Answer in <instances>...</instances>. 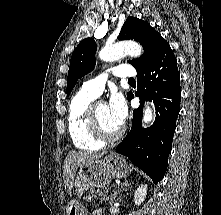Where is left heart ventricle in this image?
Returning a JSON list of instances; mask_svg holds the SVG:
<instances>
[{
	"mask_svg": "<svg viewBox=\"0 0 221 215\" xmlns=\"http://www.w3.org/2000/svg\"><path fill=\"white\" fill-rule=\"evenodd\" d=\"M97 115H98V119H99V122H100L102 128L106 132L114 133L120 128V126L116 125L112 121L107 104H100L98 106Z\"/></svg>",
	"mask_w": 221,
	"mask_h": 215,
	"instance_id": "b2bd125f",
	"label": "left heart ventricle"
}]
</instances>
